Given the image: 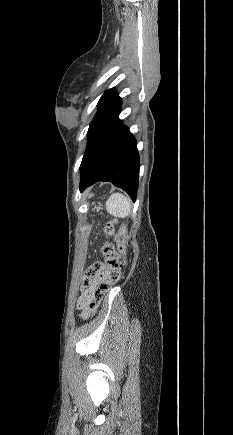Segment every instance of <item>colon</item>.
<instances>
[{"instance_id":"obj_1","label":"colon","mask_w":233,"mask_h":435,"mask_svg":"<svg viewBox=\"0 0 233 435\" xmlns=\"http://www.w3.org/2000/svg\"><path fill=\"white\" fill-rule=\"evenodd\" d=\"M116 225L115 221L106 223L104 227L106 240L101 248L103 260L91 264L82 277L81 286L83 288L96 286L93 299L87 309V315H93L97 311L105 295L119 282L122 275L127 252L125 226L121 225L116 232ZM110 238H114L115 244L110 241ZM104 271L111 272L109 279L100 278V274Z\"/></svg>"}]
</instances>
